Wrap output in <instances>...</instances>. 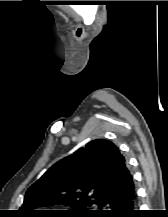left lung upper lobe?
Here are the masks:
<instances>
[{"mask_svg":"<svg viewBox=\"0 0 168 217\" xmlns=\"http://www.w3.org/2000/svg\"><path fill=\"white\" fill-rule=\"evenodd\" d=\"M132 175L118 148L104 139L55 163L26 192L20 210L29 215L50 213L33 209L55 204H68L73 210L61 212L73 217H92L104 201L123 188Z\"/></svg>","mask_w":168,"mask_h":217,"instance_id":"1","label":"left lung upper lobe"}]
</instances>
